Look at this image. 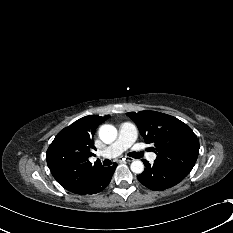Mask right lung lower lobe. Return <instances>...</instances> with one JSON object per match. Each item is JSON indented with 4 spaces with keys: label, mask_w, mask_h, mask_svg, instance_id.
Listing matches in <instances>:
<instances>
[{
    "label": "right lung lower lobe",
    "mask_w": 233,
    "mask_h": 233,
    "mask_svg": "<svg viewBox=\"0 0 233 233\" xmlns=\"http://www.w3.org/2000/svg\"><path fill=\"white\" fill-rule=\"evenodd\" d=\"M116 166L117 164L114 163L113 166L103 168L101 171H99L81 195L96 194L104 190L110 183Z\"/></svg>",
    "instance_id": "right-lung-lower-lobe-1"
}]
</instances>
